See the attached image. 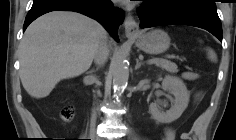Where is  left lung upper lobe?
Masks as SVG:
<instances>
[{
    "mask_svg": "<svg viewBox=\"0 0 236 140\" xmlns=\"http://www.w3.org/2000/svg\"><path fill=\"white\" fill-rule=\"evenodd\" d=\"M146 1H149V0H146ZM165 1H167L168 3L188 1V2H193V3H198V4H203V5L216 7L215 0H165Z\"/></svg>",
    "mask_w": 236,
    "mask_h": 140,
    "instance_id": "1",
    "label": "left lung upper lobe"
}]
</instances>
